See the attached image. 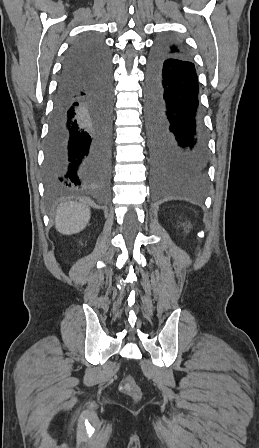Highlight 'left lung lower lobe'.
Here are the masks:
<instances>
[{"instance_id":"0a47b994","label":"left lung lower lobe","mask_w":259,"mask_h":448,"mask_svg":"<svg viewBox=\"0 0 259 448\" xmlns=\"http://www.w3.org/2000/svg\"><path fill=\"white\" fill-rule=\"evenodd\" d=\"M157 41L147 66V130L151 171L158 189L190 191L206 180L207 135L199 83L191 58L165 56Z\"/></svg>"}]
</instances>
